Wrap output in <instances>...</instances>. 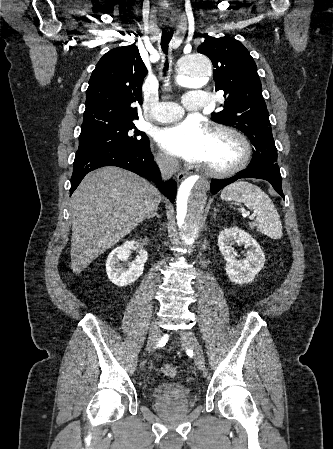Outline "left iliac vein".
I'll list each match as a JSON object with an SVG mask.
<instances>
[{"label": "left iliac vein", "mask_w": 333, "mask_h": 449, "mask_svg": "<svg viewBox=\"0 0 333 449\" xmlns=\"http://www.w3.org/2000/svg\"><path fill=\"white\" fill-rule=\"evenodd\" d=\"M181 338L182 341L192 349L197 368L199 370H203L204 368L203 350L195 334L191 331H185L182 333Z\"/></svg>", "instance_id": "1"}]
</instances>
